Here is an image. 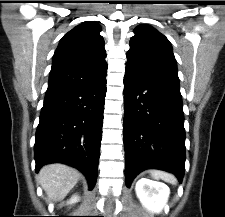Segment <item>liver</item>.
Instances as JSON below:
<instances>
[{"mask_svg":"<svg viewBox=\"0 0 225 217\" xmlns=\"http://www.w3.org/2000/svg\"><path fill=\"white\" fill-rule=\"evenodd\" d=\"M80 173L67 165L55 163L43 166L39 171V183L49 200L62 201L76 185Z\"/></svg>","mask_w":225,"mask_h":217,"instance_id":"6515ba94","label":"liver"}]
</instances>
